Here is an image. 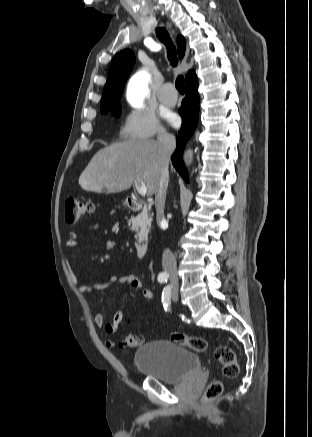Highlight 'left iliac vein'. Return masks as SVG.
Returning <instances> with one entry per match:
<instances>
[{
	"label": "left iliac vein",
	"mask_w": 312,
	"mask_h": 437,
	"mask_svg": "<svg viewBox=\"0 0 312 437\" xmlns=\"http://www.w3.org/2000/svg\"><path fill=\"white\" fill-rule=\"evenodd\" d=\"M172 299H173L174 301H177V299H178V293H177V290H174V291H173Z\"/></svg>",
	"instance_id": "1"
}]
</instances>
